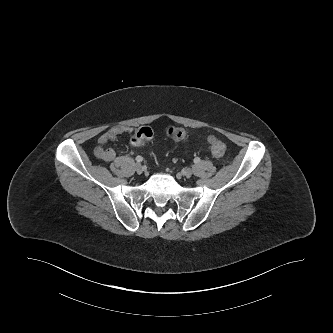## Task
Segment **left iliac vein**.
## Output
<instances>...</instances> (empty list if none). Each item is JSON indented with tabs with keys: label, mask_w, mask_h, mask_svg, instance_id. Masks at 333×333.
I'll use <instances>...</instances> for the list:
<instances>
[{
	"label": "left iliac vein",
	"mask_w": 333,
	"mask_h": 333,
	"mask_svg": "<svg viewBox=\"0 0 333 333\" xmlns=\"http://www.w3.org/2000/svg\"><path fill=\"white\" fill-rule=\"evenodd\" d=\"M192 174H193V170L190 169V168H187V169L184 171V176H185L186 178H190V177L192 176Z\"/></svg>",
	"instance_id": "1"
}]
</instances>
